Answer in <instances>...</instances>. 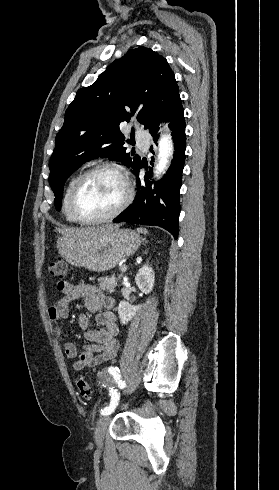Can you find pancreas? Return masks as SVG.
Returning <instances> with one entry per match:
<instances>
[{
  "instance_id": "1",
  "label": "pancreas",
  "mask_w": 279,
  "mask_h": 490,
  "mask_svg": "<svg viewBox=\"0 0 279 490\" xmlns=\"http://www.w3.org/2000/svg\"><path fill=\"white\" fill-rule=\"evenodd\" d=\"M123 274V272H122ZM122 274H118V278H116V274H113L111 278H98L99 286L102 290H109V292H113L115 286H117V282L119 278H121Z\"/></svg>"
}]
</instances>
